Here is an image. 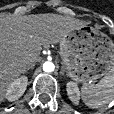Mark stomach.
<instances>
[{
  "label": "stomach",
  "mask_w": 114,
  "mask_h": 114,
  "mask_svg": "<svg viewBox=\"0 0 114 114\" xmlns=\"http://www.w3.org/2000/svg\"><path fill=\"white\" fill-rule=\"evenodd\" d=\"M60 56L73 80L89 84L114 68V43L104 32L84 25L60 42Z\"/></svg>",
  "instance_id": "stomach-1"
}]
</instances>
